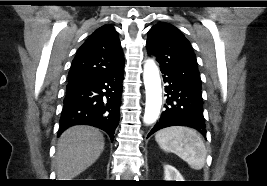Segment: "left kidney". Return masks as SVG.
Returning a JSON list of instances; mask_svg holds the SVG:
<instances>
[{"mask_svg":"<svg viewBox=\"0 0 267 186\" xmlns=\"http://www.w3.org/2000/svg\"><path fill=\"white\" fill-rule=\"evenodd\" d=\"M165 181H184L179 171L171 165L164 167Z\"/></svg>","mask_w":267,"mask_h":186,"instance_id":"5707ae66","label":"left kidney"}]
</instances>
